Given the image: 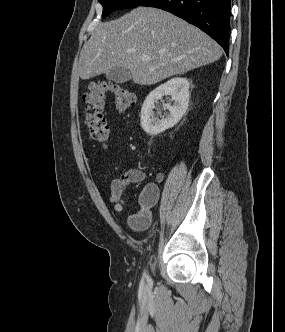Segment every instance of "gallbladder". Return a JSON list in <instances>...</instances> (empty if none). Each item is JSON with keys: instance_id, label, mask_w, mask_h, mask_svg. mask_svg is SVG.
I'll list each match as a JSON object with an SVG mask.
<instances>
[{"instance_id": "gallbladder-1", "label": "gallbladder", "mask_w": 285, "mask_h": 332, "mask_svg": "<svg viewBox=\"0 0 285 332\" xmlns=\"http://www.w3.org/2000/svg\"><path fill=\"white\" fill-rule=\"evenodd\" d=\"M106 78L115 83H125L131 80L132 75L129 69L124 67H115L106 73Z\"/></svg>"}]
</instances>
